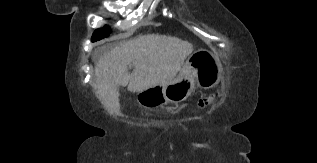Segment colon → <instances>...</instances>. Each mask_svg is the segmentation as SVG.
<instances>
[{
	"mask_svg": "<svg viewBox=\"0 0 317 163\" xmlns=\"http://www.w3.org/2000/svg\"><path fill=\"white\" fill-rule=\"evenodd\" d=\"M215 98V95L212 94V95H208V96H205V97H202L200 100H199V106L200 107H205V106H208Z\"/></svg>",
	"mask_w": 317,
	"mask_h": 163,
	"instance_id": "colon-1",
	"label": "colon"
}]
</instances>
